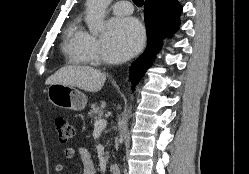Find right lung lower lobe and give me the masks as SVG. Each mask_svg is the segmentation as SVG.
I'll return each mask as SVG.
<instances>
[{"label":"right lung lower lobe","mask_w":249,"mask_h":174,"mask_svg":"<svg viewBox=\"0 0 249 174\" xmlns=\"http://www.w3.org/2000/svg\"><path fill=\"white\" fill-rule=\"evenodd\" d=\"M182 7L177 0H145L144 18L148 45L145 52L132 64L130 80L135 84L149 68L161 47V38L179 28Z\"/></svg>","instance_id":"1"}]
</instances>
